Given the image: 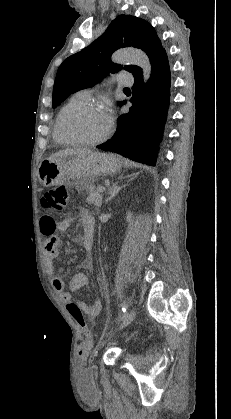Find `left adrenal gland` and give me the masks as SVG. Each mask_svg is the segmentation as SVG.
<instances>
[{
	"label": "left adrenal gland",
	"mask_w": 231,
	"mask_h": 419,
	"mask_svg": "<svg viewBox=\"0 0 231 419\" xmlns=\"http://www.w3.org/2000/svg\"><path fill=\"white\" fill-rule=\"evenodd\" d=\"M125 186H118V183L113 184V186L109 190V197L106 199V203H108L112 198H114L119 191Z\"/></svg>",
	"instance_id": "1"
}]
</instances>
